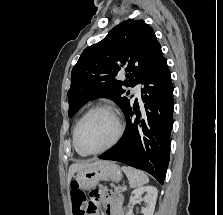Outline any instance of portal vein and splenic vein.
<instances>
[{
    "mask_svg": "<svg viewBox=\"0 0 223 215\" xmlns=\"http://www.w3.org/2000/svg\"><path fill=\"white\" fill-rule=\"evenodd\" d=\"M121 187H122L123 189H126V184H125V183H122V184H121Z\"/></svg>",
    "mask_w": 223,
    "mask_h": 215,
    "instance_id": "1",
    "label": "portal vein and splenic vein"
}]
</instances>
